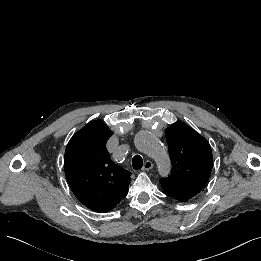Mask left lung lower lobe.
<instances>
[{
  "label": "left lung lower lobe",
  "instance_id": "obj_1",
  "mask_svg": "<svg viewBox=\"0 0 261 261\" xmlns=\"http://www.w3.org/2000/svg\"><path fill=\"white\" fill-rule=\"evenodd\" d=\"M164 193H165L167 196L172 197V198H175V199H177V200H179V201H187V200H188V198H185V197H182V196H180V195H176V194H173V193H170V192H167V191H165Z\"/></svg>",
  "mask_w": 261,
  "mask_h": 261
}]
</instances>
